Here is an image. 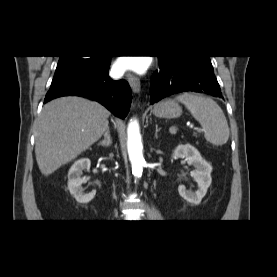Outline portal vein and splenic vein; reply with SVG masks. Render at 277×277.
I'll return each instance as SVG.
<instances>
[{"label":"portal vein and splenic vein","mask_w":277,"mask_h":277,"mask_svg":"<svg viewBox=\"0 0 277 277\" xmlns=\"http://www.w3.org/2000/svg\"><path fill=\"white\" fill-rule=\"evenodd\" d=\"M190 127L192 128V125H190ZM176 130H177V129H176L175 127H171V128H170V132H171V133H176Z\"/></svg>","instance_id":"portal-vein-and-splenic-vein-1"}]
</instances>
